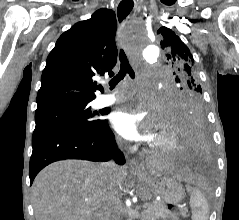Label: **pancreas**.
Wrapping results in <instances>:
<instances>
[{
	"mask_svg": "<svg viewBox=\"0 0 239 220\" xmlns=\"http://www.w3.org/2000/svg\"><path fill=\"white\" fill-rule=\"evenodd\" d=\"M170 212L166 205L162 201H153L149 206L142 212V220H157L160 218L169 217ZM180 215L185 216L186 210L184 208L180 209Z\"/></svg>",
	"mask_w": 239,
	"mask_h": 220,
	"instance_id": "pancreas-1",
	"label": "pancreas"
}]
</instances>
